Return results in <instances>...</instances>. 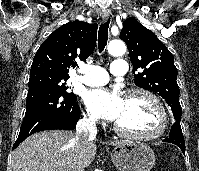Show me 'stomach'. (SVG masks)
I'll list each match as a JSON object with an SVG mask.
<instances>
[{
    "mask_svg": "<svg viewBox=\"0 0 199 171\" xmlns=\"http://www.w3.org/2000/svg\"><path fill=\"white\" fill-rule=\"evenodd\" d=\"M111 160L119 171H150L155 164V154L144 143L121 141L114 147Z\"/></svg>",
    "mask_w": 199,
    "mask_h": 171,
    "instance_id": "stomach-1",
    "label": "stomach"
}]
</instances>
